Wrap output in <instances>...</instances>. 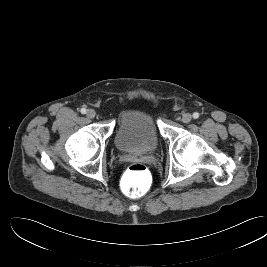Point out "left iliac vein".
Returning <instances> with one entry per match:
<instances>
[{
  "label": "left iliac vein",
  "mask_w": 267,
  "mask_h": 267,
  "mask_svg": "<svg viewBox=\"0 0 267 267\" xmlns=\"http://www.w3.org/2000/svg\"><path fill=\"white\" fill-rule=\"evenodd\" d=\"M192 120V115L189 113H186L182 116V121L184 123H189Z\"/></svg>",
  "instance_id": "left-iliac-vein-1"
}]
</instances>
